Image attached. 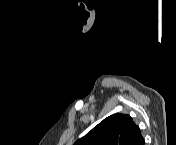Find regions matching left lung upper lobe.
Returning a JSON list of instances; mask_svg holds the SVG:
<instances>
[{
	"instance_id": "left-lung-upper-lobe-1",
	"label": "left lung upper lobe",
	"mask_w": 176,
	"mask_h": 145,
	"mask_svg": "<svg viewBox=\"0 0 176 145\" xmlns=\"http://www.w3.org/2000/svg\"><path fill=\"white\" fill-rule=\"evenodd\" d=\"M74 145H144V138L129 115L116 113L105 118Z\"/></svg>"
}]
</instances>
